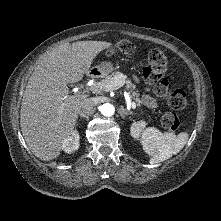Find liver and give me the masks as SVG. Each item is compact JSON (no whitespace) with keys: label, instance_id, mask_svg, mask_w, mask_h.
Segmentation results:
<instances>
[{"label":"liver","instance_id":"6515ba94","mask_svg":"<svg viewBox=\"0 0 221 221\" xmlns=\"http://www.w3.org/2000/svg\"><path fill=\"white\" fill-rule=\"evenodd\" d=\"M106 41L64 43L46 52L30 76L24 91L20 126L32 153L43 161L57 158L62 142L71 135L79 107L86 95H69L67 84L89 73L91 64Z\"/></svg>","mask_w":221,"mask_h":221}]
</instances>
